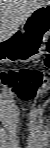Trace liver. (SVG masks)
<instances>
[{
  "instance_id": "liver-1",
  "label": "liver",
  "mask_w": 50,
  "mask_h": 148,
  "mask_svg": "<svg viewBox=\"0 0 50 148\" xmlns=\"http://www.w3.org/2000/svg\"><path fill=\"white\" fill-rule=\"evenodd\" d=\"M49 5L48 0H1L0 40L9 39L39 8Z\"/></svg>"
}]
</instances>
